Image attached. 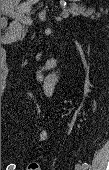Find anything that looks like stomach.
<instances>
[{
	"label": "stomach",
	"instance_id": "obj_1",
	"mask_svg": "<svg viewBox=\"0 0 109 170\" xmlns=\"http://www.w3.org/2000/svg\"><path fill=\"white\" fill-rule=\"evenodd\" d=\"M69 1L72 2V3H76V2H79L81 0H69Z\"/></svg>",
	"mask_w": 109,
	"mask_h": 170
}]
</instances>
